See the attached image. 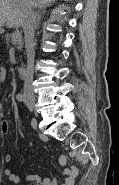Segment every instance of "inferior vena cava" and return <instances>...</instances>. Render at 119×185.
I'll return each mask as SVG.
<instances>
[{
    "mask_svg": "<svg viewBox=\"0 0 119 185\" xmlns=\"http://www.w3.org/2000/svg\"><path fill=\"white\" fill-rule=\"evenodd\" d=\"M24 2V20H23V31L25 39V48L27 54V68L26 74L24 77V89L23 96L25 98L34 99V91L32 86L33 73H34V22H35V13L32 11V5L29 0H22Z\"/></svg>",
    "mask_w": 119,
    "mask_h": 185,
    "instance_id": "602c4592",
    "label": "inferior vena cava"
}]
</instances>
